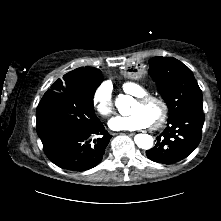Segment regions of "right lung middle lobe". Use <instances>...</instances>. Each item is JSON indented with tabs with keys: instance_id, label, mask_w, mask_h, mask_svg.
<instances>
[{
	"instance_id": "dd1d6c3e",
	"label": "right lung middle lobe",
	"mask_w": 221,
	"mask_h": 221,
	"mask_svg": "<svg viewBox=\"0 0 221 221\" xmlns=\"http://www.w3.org/2000/svg\"><path fill=\"white\" fill-rule=\"evenodd\" d=\"M101 81L99 73L67 87L54 83L52 90L44 94L36 111L37 133L44 147L99 122L94 114L93 95Z\"/></svg>"
}]
</instances>
